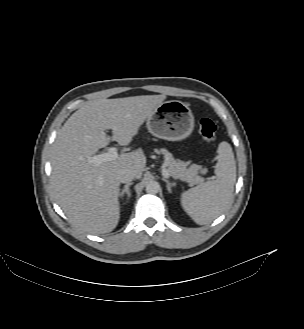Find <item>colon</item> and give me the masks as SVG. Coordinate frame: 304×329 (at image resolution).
Segmentation results:
<instances>
[{
	"mask_svg": "<svg viewBox=\"0 0 304 329\" xmlns=\"http://www.w3.org/2000/svg\"><path fill=\"white\" fill-rule=\"evenodd\" d=\"M198 128L201 136L207 142H214L216 140V125L209 118H202L198 123Z\"/></svg>",
	"mask_w": 304,
	"mask_h": 329,
	"instance_id": "colon-1",
	"label": "colon"
}]
</instances>
